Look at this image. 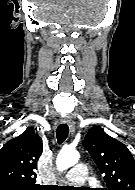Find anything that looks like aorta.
<instances>
[{"label":"aorta","mask_w":135,"mask_h":190,"mask_svg":"<svg viewBox=\"0 0 135 190\" xmlns=\"http://www.w3.org/2000/svg\"><path fill=\"white\" fill-rule=\"evenodd\" d=\"M80 155L75 149L64 148L57 156L56 166L59 171H64L74 166L79 161Z\"/></svg>","instance_id":"obj_1"}]
</instances>
